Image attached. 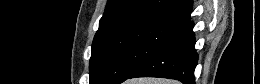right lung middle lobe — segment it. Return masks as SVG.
Listing matches in <instances>:
<instances>
[{"mask_svg": "<svg viewBox=\"0 0 260 84\" xmlns=\"http://www.w3.org/2000/svg\"><path fill=\"white\" fill-rule=\"evenodd\" d=\"M161 24H134L96 40L90 59V84H119L176 30Z\"/></svg>", "mask_w": 260, "mask_h": 84, "instance_id": "obj_1", "label": "right lung middle lobe"}]
</instances>
